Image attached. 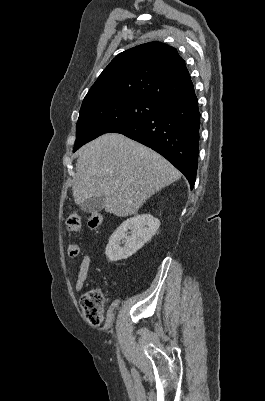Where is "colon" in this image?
<instances>
[{
  "instance_id": "1",
  "label": "colon",
  "mask_w": 265,
  "mask_h": 401,
  "mask_svg": "<svg viewBox=\"0 0 265 401\" xmlns=\"http://www.w3.org/2000/svg\"><path fill=\"white\" fill-rule=\"evenodd\" d=\"M102 222V215L98 212H92L88 217V225L96 229ZM66 227L70 232H77L81 227V215L72 212L66 221ZM80 248L75 242L68 246V255L75 258L79 255ZM81 308L86 321L91 325H99L104 318L105 296L100 288H94L87 291L81 298Z\"/></svg>"
}]
</instances>
